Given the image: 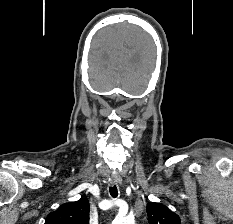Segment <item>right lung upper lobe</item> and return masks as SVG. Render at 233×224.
<instances>
[{
	"mask_svg": "<svg viewBox=\"0 0 233 224\" xmlns=\"http://www.w3.org/2000/svg\"><path fill=\"white\" fill-rule=\"evenodd\" d=\"M45 224H89V202L80 199L62 204L47 215Z\"/></svg>",
	"mask_w": 233,
	"mask_h": 224,
	"instance_id": "cb5924a9",
	"label": "right lung upper lobe"
}]
</instances>
